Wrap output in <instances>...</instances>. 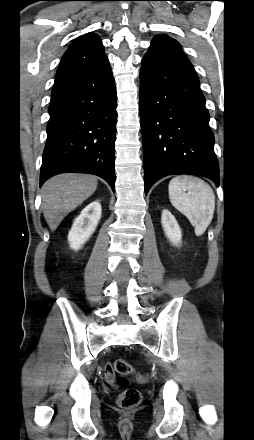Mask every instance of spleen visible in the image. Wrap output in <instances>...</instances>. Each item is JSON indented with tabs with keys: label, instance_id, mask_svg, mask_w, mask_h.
Instances as JSON below:
<instances>
[{
	"label": "spleen",
	"instance_id": "3e777b00",
	"mask_svg": "<svg viewBox=\"0 0 254 440\" xmlns=\"http://www.w3.org/2000/svg\"><path fill=\"white\" fill-rule=\"evenodd\" d=\"M169 199L172 205L184 214L201 236L212 221L215 210V195L211 186L194 176H177L169 183Z\"/></svg>",
	"mask_w": 254,
	"mask_h": 440
}]
</instances>
